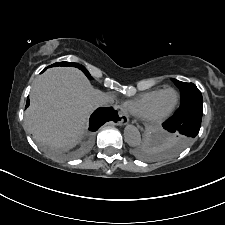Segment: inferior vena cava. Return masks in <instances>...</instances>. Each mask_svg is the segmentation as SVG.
<instances>
[{"label": "inferior vena cava", "mask_w": 225, "mask_h": 225, "mask_svg": "<svg viewBox=\"0 0 225 225\" xmlns=\"http://www.w3.org/2000/svg\"><path fill=\"white\" fill-rule=\"evenodd\" d=\"M94 103L96 107H108L112 105L113 98L108 95H99L95 98Z\"/></svg>", "instance_id": "obj_1"}]
</instances>
